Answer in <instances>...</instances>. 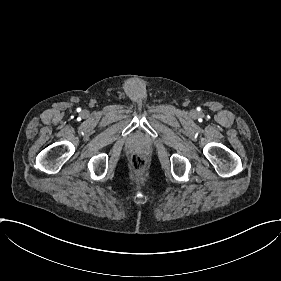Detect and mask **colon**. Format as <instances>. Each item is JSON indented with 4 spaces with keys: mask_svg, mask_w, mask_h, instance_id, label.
<instances>
[{
    "mask_svg": "<svg viewBox=\"0 0 281 281\" xmlns=\"http://www.w3.org/2000/svg\"><path fill=\"white\" fill-rule=\"evenodd\" d=\"M129 167L136 175H142L148 170L149 164L144 155L135 153L129 159Z\"/></svg>",
    "mask_w": 281,
    "mask_h": 281,
    "instance_id": "obj_1",
    "label": "colon"
}]
</instances>
